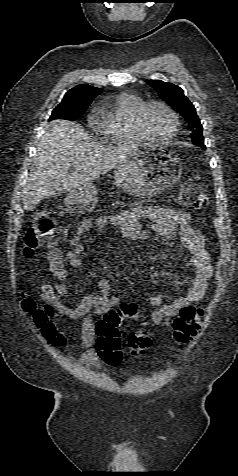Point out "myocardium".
Instances as JSON below:
<instances>
[{
	"label": "myocardium",
	"instance_id": "obj_1",
	"mask_svg": "<svg viewBox=\"0 0 238 476\" xmlns=\"http://www.w3.org/2000/svg\"><path fill=\"white\" fill-rule=\"evenodd\" d=\"M152 106H160L162 107L171 117L172 119V130L169 133V135L163 139H155L149 135V133L146 130L145 124H144V117L147 112V110L152 107ZM136 128L140 136L149 143L152 144H166L169 143L178 133L179 131V118L177 113L174 111V109L167 104L166 102L162 100H149L144 102L140 108L137 111L136 114Z\"/></svg>",
	"mask_w": 238,
	"mask_h": 476
}]
</instances>
